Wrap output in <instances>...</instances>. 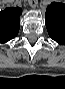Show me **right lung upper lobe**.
I'll use <instances>...</instances> for the list:
<instances>
[{
	"label": "right lung upper lobe",
	"instance_id": "right-lung-upper-lobe-1",
	"mask_svg": "<svg viewBox=\"0 0 65 89\" xmlns=\"http://www.w3.org/2000/svg\"><path fill=\"white\" fill-rule=\"evenodd\" d=\"M21 8H6L0 12V43H6L18 35Z\"/></svg>",
	"mask_w": 65,
	"mask_h": 89
}]
</instances>
